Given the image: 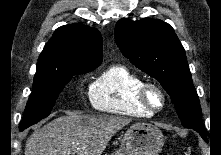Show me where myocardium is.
I'll list each match as a JSON object with an SVG mask.
<instances>
[{
  "instance_id": "myocardium-1",
  "label": "myocardium",
  "mask_w": 221,
  "mask_h": 155,
  "mask_svg": "<svg viewBox=\"0 0 221 155\" xmlns=\"http://www.w3.org/2000/svg\"><path fill=\"white\" fill-rule=\"evenodd\" d=\"M155 92L160 98V105H154L150 100V94ZM138 100L140 104L152 113L162 111L167 102L166 94L164 90L157 84L152 82H144L138 92Z\"/></svg>"
}]
</instances>
